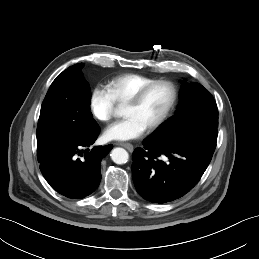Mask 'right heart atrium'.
I'll list each match as a JSON object with an SVG mask.
<instances>
[{"instance_id":"1","label":"right heart atrium","mask_w":259,"mask_h":259,"mask_svg":"<svg viewBox=\"0 0 259 259\" xmlns=\"http://www.w3.org/2000/svg\"><path fill=\"white\" fill-rule=\"evenodd\" d=\"M90 107L94 117L102 122H108L115 114V101L108 89L102 85L93 88Z\"/></svg>"}]
</instances>
